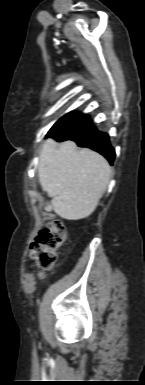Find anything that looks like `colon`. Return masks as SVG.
Returning a JSON list of instances; mask_svg holds the SVG:
<instances>
[{"label":"colon","instance_id":"1","mask_svg":"<svg viewBox=\"0 0 145 385\" xmlns=\"http://www.w3.org/2000/svg\"><path fill=\"white\" fill-rule=\"evenodd\" d=\"M66 238V228L62 221H50L43 228L36 240L31 244L30 256L35 261L40 271V276L44 277L57 260V252L64 244Z\"/></svg>","mask_w":145,"mask_h":385}]
</instances>
